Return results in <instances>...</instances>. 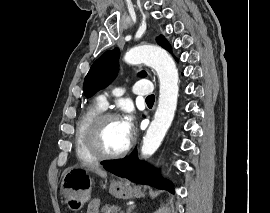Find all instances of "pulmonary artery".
Returning <instances> with one entry per match:
<instances>
[{
    "label": "pulmonary artery",
    "mask_w": 270,
    "mask_h": 213,
    "mask_svg": "<svg viewBox=\"0 0 270 213\" xmlns=\"http://www.w3.org/2000/svg\"><path fill=\"white\" fill-rule=\"evenodd\" d=\"M128 89L132 90L133 93L140 96H149L152 93V85L149 81L141 80L135 82L133 85L129 86ZM123 88L115 90L114 94L119 95L122 92ZM97 103L103 109L106 108L108 101H107V94L100 95L97 99Z\"/></svg>",
    "instance_id": "e3ab8cb5"
}]
</instances>
